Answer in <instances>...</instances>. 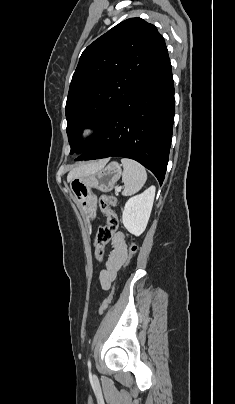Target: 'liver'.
I'll use <instances>...</instances> for the list:
<instances>
[{
    "mask_svg": "<svg viewBox=\"0 0 235 404\" xmlns=\"http://www.w3.org/2000/svg\"><path fill=\"white\" fill-rule=\"evenodd\" d=\"M107 162L108 160L104 159L97 162L82 164L76 168H73L67 176V181L71 182L74 178L95 173L96 171L102 169Z\"/></svg>",
    "mask_w": 235,
    "mask_h": 404,
    "instance_id": "6515ba94",
    "label": "liver"
}]
</instances>
